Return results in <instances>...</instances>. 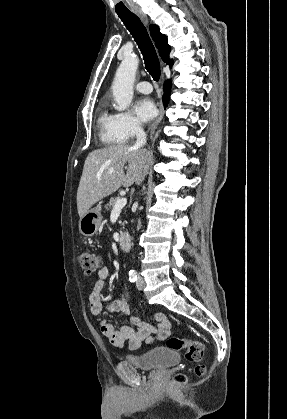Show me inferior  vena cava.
Here are the masks:
<instances>
[{"instance_id":"inferior-vena-cava-1","label":"inferior vena cava","mask_w":287,"mask_h":419,"mask_svg":"<svg viewBox=\"0 0 287 419\" xmlns=\"http://www.w3.org/2000/svg\"><path fill=\"white\" fill-rule=\"evenodd\" d=\"M135 132H136L137 140H136V143H135L134 147L140 148V147H142L146 144V141H147L146 133L143 130V128L140 127V126H137L135 128Z\"/></svg>"}]
</instances>
